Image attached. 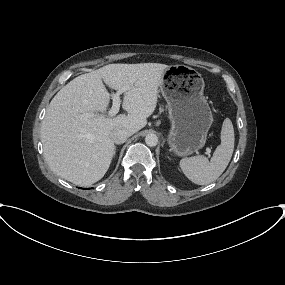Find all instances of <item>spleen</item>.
Masks as SVG:
<instances>
[{
    "label": "spleen",
    "mask_w": 285,
    "mask_h": 285,
    "mask_svg": "<svg viewBox=\"0 0 285 285\" xmlns=\"http://www.w3.org/2000/svg\"><path fill=\"white\" fill-rule=\"evenodd\" d=\"M221 144L217 146L210 161L204 156L183 158L180 168L186 177L198 185L215 181L228 166L234 150V128L229 118L223 121Z\"/></svg>",
    "instance_id": "spleen-1"
}]
</instances>
